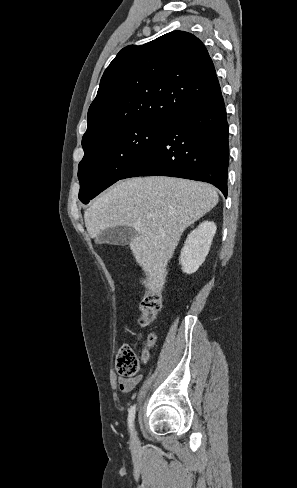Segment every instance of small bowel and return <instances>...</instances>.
<instances>
[{"instance_id": "obj_1", "label": "small bowel", "mask_w": 297, "mask_h": 488, "mask_svg": "<svg viewBox=\"0 0 297 488\" xmlns=\"http://www.w3.org/2000/svg\"><path fill=\"white\" fill-rule=\"evenodd\" d=\"M141 380L142 375H137L134 377L120 375L117 377L118 387L123 393L131 392Z\"/></svg>"}]
</instances>
